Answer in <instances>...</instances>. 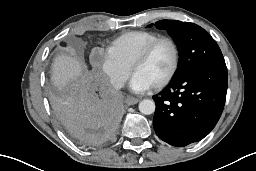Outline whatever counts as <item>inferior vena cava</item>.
Instances as JSON below:
<instances>
[{"label":"inferior vena cava","instance_id":"1","mask_svg":"<svg viewBox=\"0 0 256 171\" xmlns=\"http://www.w3.org/2000/svg\"><path fill=\"white\" fill-rule=\"evenodd\" d=\"M111 84L116 90H119L123 87V82L117 79L111 80Z\"/></svg>","mask_w":256,"mask_h":171}]
</instances>
